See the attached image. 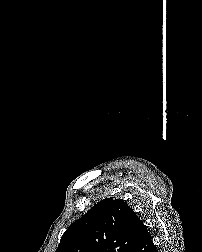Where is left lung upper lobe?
Listing matches in <instances>:
<instances>
[{
  "instance_id": "1",
  "label": "left lung upper lobe",
  "mask_w": 202,
  "mask_h": 252,
  "mask_svg": "<svg viewBox=\"0 0 202 252\" xmlns=\"http://www.w3.org/2000/svg\"><path fill=\"white\" fill-rule=\"evenodd\" d=\"M141 222L126 202L106 198L70 225L55 252H133Z\"/></svg>"
}]
</instances>
